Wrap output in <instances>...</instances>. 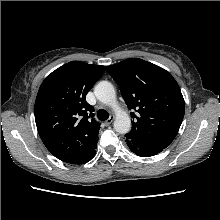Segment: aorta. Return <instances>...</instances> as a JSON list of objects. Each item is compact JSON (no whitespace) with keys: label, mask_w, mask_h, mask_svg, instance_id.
Returning a JSON list of instances; mask_svg holds the SVG:
<instances>
[{"label":"aorta","mask_w":220,"mask_h":220,"mask_svg":"<svg viewBox=\"0 0 220 220\" xmlns=\"http://www.w3.org/2000/svg\"><path fill=\"white\" fill-rule=\"evenodd\" d=\"M94 94L100 102L114 109V129L116 132L120 134L128 133L131 129V120L127 112L118 106L114 86L108 81H101L95 86Z\"/></svg>","instance_id":"aorta-1"}]
</instances>
